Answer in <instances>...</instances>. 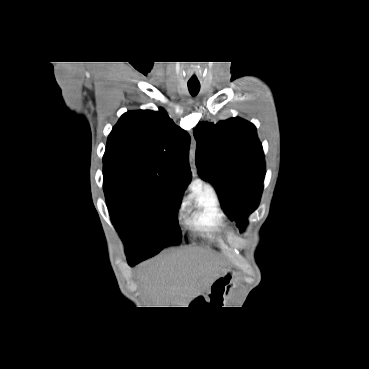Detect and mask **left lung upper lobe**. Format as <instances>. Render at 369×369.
<instances>
[{"label": "left lung upper lobe", "mask_w": 369, "mask_h": 369, "mask_svg": "<svg viewBox=\"0 0 369 369\" xmlns=\"http://www.w3.org/2000/svg\"><path fill=\"white\" fill-rule=\"evenodd\" d=\"M196 166L213 184L222 209L242 231L260 201L265 161L255 126L241 118L214 125L200 122L194 130Z\"/></svg>", "instance_id": "obj_1"}]
</instances>
